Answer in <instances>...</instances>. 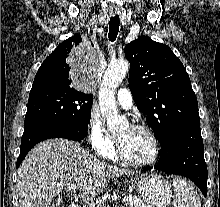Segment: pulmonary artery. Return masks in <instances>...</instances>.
<instances>
[{
  "label": "pulmonary artery",
  "instance_id": "1",
  "mask_svg": "<svg viewBox=\"0 0 220 207\" xmlns=\"http://www.w3.org/2000/svg\"><path fill=\"white\" fill-rule=\"evenodd\" d=\"M117 101L118 104L124 109H129L133 105L132 95L127 88H121L118 90Z\"/></svg>",
  "mask_w": 220,
  "mask_h": 207
}]
</instances>
